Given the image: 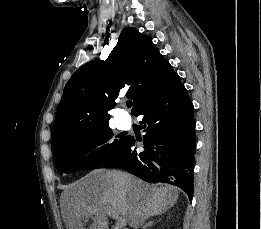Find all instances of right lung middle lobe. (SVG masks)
Here are the masks:
<instances>
[{"mask_svg": "<svg viewBox=\"0 0 261 229\" xmlns=\"http://www.w3.org/2000/svg\"><path fill=\"white\" fill-rule=\"evenodd\" d=\"M68 136L54 150L53 156L59 174L82 169H97L117 156L129 138L112 139L109 123L71 127Z\"/></svg>", "mask_w": 261, "mask_h": 229, "instance_id": "right-lung-middle-lobe-1", "label": "right lung middle lobe"}]
</instances>
